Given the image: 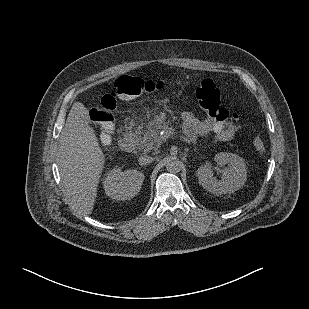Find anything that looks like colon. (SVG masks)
I'll return each mask as SVG.
<instances>
[{"instance_id": "colon-1", "label": "colon", "mask_w": 309, "mask_h": 309, "mask_svg": "<svg viewBox=\"0 0 309 309\" xmlns=\"http://www.w3.org/2000/svg\"><path fill=\"white\" fill-rule=\"evenodd\" d=\"M164 83L159 80H145L139 77L120 76L114 82V90L101 97V106L94 114V120L101 129V139H110L116 128L114 111L120 100H132L142 94L160 91ZM198 106L206 116L221 124H236L238 115L230 113L221 106L220 91L211 79H204L200 82L195 91ZM253 146L259 154H264L266 146L263 139L255 136Z\"/></svg>"}]
</instances>
